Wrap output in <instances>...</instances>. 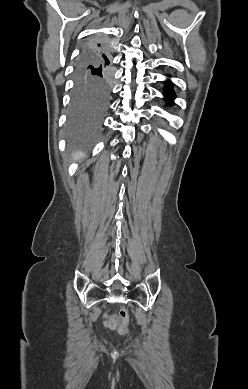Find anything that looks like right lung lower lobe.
Returning <instances> with one entry per match:
<instances>
[{
	"label": "right lung lower lobe",
	"instance_id": "1",
	"mask_svg": "<svg viewBox=\"0 0 248 389\" xmlns=\"http://www.w3.org/2000/svg\"><path fill=\"white\" fill-rule=\"evenodd\" d=\"M92 50H91V47H87L86 49H85V51H84V53L83 54H86V55H92Z\"/></svg>",
	"mask_w": 248,
	"mask_h": 389
}]
</instances>
